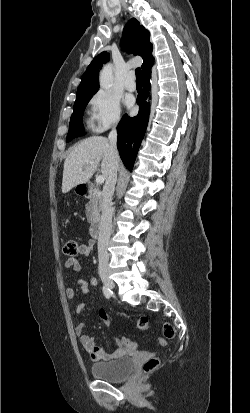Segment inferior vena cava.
Returning a JSON list of instances; mask_svg holds the SVG:
<instances>
[{
  "label": "inferior vena cava",
  "mask_w": 250,
  "mask_h": 413,
  "mask_svg": "<svg viewBox=\"0 0 250 413\" xmlns=\"http://www.w3.org/2000/svg\"><path fill=\"white\" fill-rule=\"evenodd\" d=\"M110 145V154L112 167L106 183L103 187L102 195V215L99 225V237H98V257L99 267L107 268L109 262V254L107 251L108 243L112 231V196L115 190V184L117 181V172L119 168V155L117 151V131L113 128L108 136Z\"/></svg>",
  "instance_id": "1"
}]
</instances>
